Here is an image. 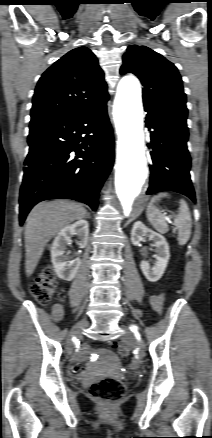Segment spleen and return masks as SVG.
Wrapping results in <instances>:
<instances>
[{
	"mask_svg": "<svg viewBox=\"0 0 212 438\" xmlns=\"http://www.w3.org/2000/svg\"><path fill=\"white\" fill-rule=\"evenodd\" d=\"M169 197L168 193H160L152 197L147 210L146 215L152 226L160 233L165 234L168 232V224L166 222L165 216L159 211L154 205L161 198ZM179 209L177 214H175L174 224L178 229L177 241L178 244L185 245L191 235V214L187 203L183 200H179Z\"/></svg>",
	"mask_w": 212,
	"mask_h": 438,
	"instance_id": "spleen-1",
	"label": "spleen"
}]
</instances>
